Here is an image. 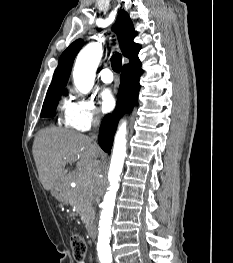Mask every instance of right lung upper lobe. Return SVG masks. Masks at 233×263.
Masks as SVG:
<instances>
[{"label":"right lung upper lobe","mask_w":233,"mask_h":263,"mask_svg":"<svg viewBox=\"0 0 233 263\" xmlns=\"http://www.w3.org/2000/svg\"><path fill=\"white\" fill-rule=\"evenodd\" d=\"M113 30L118 34L122 54L130 60L129 64L139 61L138 52L140 45L133 41L137 33L134 30L131 19L124 10L119 12ZM82 46L83 41L78 39L62 53L48 91L66 86L74 58Z\"/></svg>","instance_id":"cb5924a9"}]
</instances>
